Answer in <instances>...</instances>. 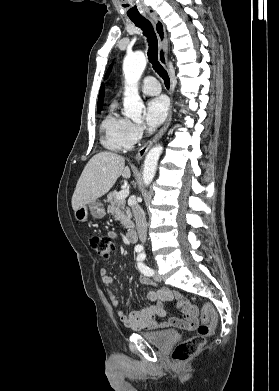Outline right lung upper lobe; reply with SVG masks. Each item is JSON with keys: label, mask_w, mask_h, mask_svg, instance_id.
Segmentation results:
<instances>
[{"label": "right lung upper lobe", "mask_w": 279, "mask_h": 391, "mask_svg": "<svg viewBox=\"0 0 279 391\" xmlns=\"http://www.w3.org/2000/svg\"><path fill=\"white\" fill-rule=\"evenodd\" d=\"M103 98H104V87L102 85L101 88H100V92H99L98 108H101V104L103 102Z\"/></svg>", "instance_id": "obj_1"}]
</instances>
